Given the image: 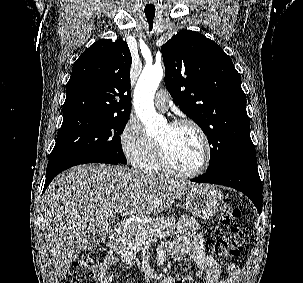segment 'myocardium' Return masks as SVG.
<instances>
[{
  "instance_id": "1",
  "label": "myocardium",
  "mask_w": 303,
  "mask_h": 283,
  "mask_svg": "<svg viewBox=\"0 0 303 283\" xmlns=\"http://www.w3.org/2000/svg\"><path fill=\"white\" fill-rule=\"evenodd\" d=\"M169 126L171 127L190 126L191 128H193L201 139L204 155L201 165L196 170L191 172H183L176 169L173 166V164L171 163L168 157L165 147L158 140H156L157 155L162 170L178 178L190 179L200 176L208 169L212 157L211 143L206 132L197 122L191 119H178L170 123Z\"/></svg>"
}]
</instances>
